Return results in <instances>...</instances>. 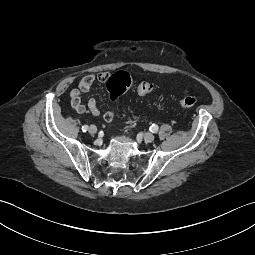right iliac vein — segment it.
Listing matches in <instances>:
<instances>
[{"label": "right iliac vein", "instance_id": "1", "mask_svg": "<svg viewBox=\"0 0 255 255\" xmlns=\"http://www.w3.org/2000/svg\"><path fill=\"white\" fill-rule=\"evenodd\" d=\"M96 132H97V127L95 125H91L89 127V133L94 135V134H96Z\"/></svg>", "mask_w": 255, "mask_h": 255}]
</instances>
